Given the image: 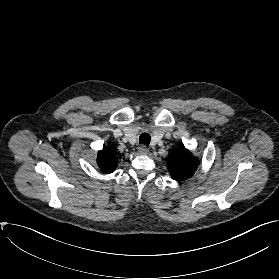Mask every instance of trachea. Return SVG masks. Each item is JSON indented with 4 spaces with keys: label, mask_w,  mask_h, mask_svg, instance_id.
<instances>
[{
    "label": "trachea",
    "mask_w": 279,
    "mask_h": 279,
    "mask_svg": "<svg viewBox=\"0 0 279 279\" xmlns=\"http://www.w3.org/2000/svg\"><path fill=\"white\" fill-rule=\"evenodd\" d=\"M150 141H151V136L148 133H142L139 137L140 144H144L148 146Z\"/></svg>",
    "instance_id": "1"
}]
</instances>
